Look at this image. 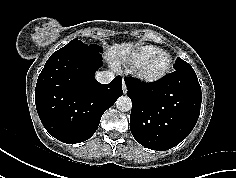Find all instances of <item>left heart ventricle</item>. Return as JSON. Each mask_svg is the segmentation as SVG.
Returning a JSON list of instances; mask_svg holds the SVG:
<instances>
[{"label":"left heart ventricle","mask_w":236,"mask_h":178,"mask_svg":"<svg viewBox=\"0 0 236 178\" xmlns=\"http://www.w3.org/2000/svg\"><path fill=\"white\" fill-rule=\"evenodd\" d=\"M167 64H168L167 57H165V56L159 57L151 63V65L149 67V71L154 74L160 73L161 71H163L166 68Z\"/></svg>","instance_id":"obj_1"}]
</instances>
